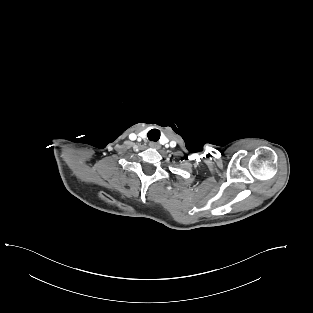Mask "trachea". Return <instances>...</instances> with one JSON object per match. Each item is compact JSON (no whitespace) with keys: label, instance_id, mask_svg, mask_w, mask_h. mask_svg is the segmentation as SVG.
<instances>
[{"label":"trachea","instance_id":"trachea-1","mask_svg":"<svg viewBox=\"0 0 313 313\" xmlns=\"http://www.w3.org/2000/svg\"><path fill=\"white\" fill-rule=\"evenodd\" d=\"M147 137L150 141H158L160 139V131L158 129H151L148 134Z\"/></svg>","mask_w":313,"mask_h":313}]
</instances>
